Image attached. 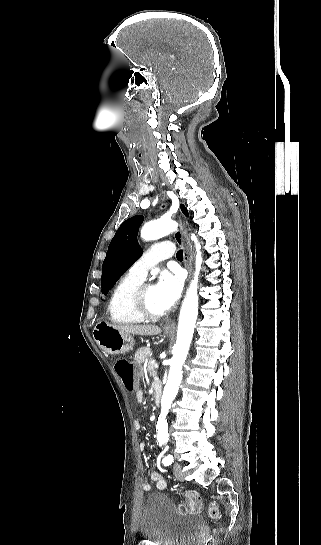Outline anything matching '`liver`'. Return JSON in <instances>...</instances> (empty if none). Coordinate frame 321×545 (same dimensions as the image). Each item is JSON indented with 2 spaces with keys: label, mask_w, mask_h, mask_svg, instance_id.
<instances>
[{
  "label": "liver",
  "mask_w": 321,
  "mask_h": 545,
  "mask_svg": "<svg viewBox=\"0 0 321 545\" xmlns=\"http://www.w3.org/2000/svg\"><path fill=\"white\" fill-rule=\"evenodd\" d=\"M123 335H159L162 333L160 327H155V325H111Z\"/></svg>",
  "instance_id": "obj_1"
}]
</instances>
